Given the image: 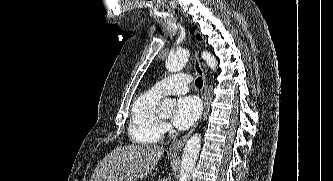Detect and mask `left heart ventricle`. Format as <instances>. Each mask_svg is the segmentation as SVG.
Returning a JSON list of instances; mask_svg holds the SVG:
<instances>
[{
	"label": "left heart ventricle",
	"instance_id": "1",
	"mask_svg": "<svg viewBox=\"0 0 333 181\" xmlns=\"http://www.w3.org/2000/svg\"><path fill=\"white\" fill-rule=\"evenodd\" d=\"M170 114H171V112L168 111V112L162 113L161 116H162L163 118H167V117L170 116Z\"/></svg>",
	"mask_w": 333,
	"mask_h": 181
}]
</instances>
